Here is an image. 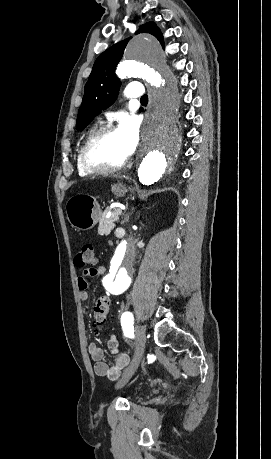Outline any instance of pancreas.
Segmentation results:
<instances>
[{"label":"pancreas","mask_w":271,"mask_h":459,"mask_svg":"<svg viewBox=\"0 0 271 459\" xmlns=\"http://www.w3.org/2000/svg\"><path fill=\"white\" fill-rule=\"evenodd\" d=\"M107 212H109V210H107ZM107 212H105L102 218H100L99 226H98V233H105V235H108L111 229L115 228V224H113V220L115 219L116 214H121V210H119V208H115L110 218H106Z\"/></svg>","instance_id":"cf45deb5"}]
</instances>
